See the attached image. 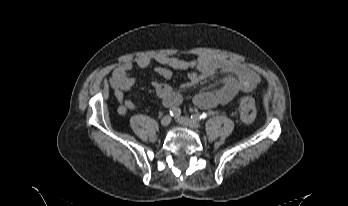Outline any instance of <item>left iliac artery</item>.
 Segmentation results:
<instances>
[{
	"label": "left iliac artery",
	"instance_id": "left-iliac-artery-1",
	"mask_svg": "<svg viewBox=\"0 0 348 206\" xmlns=\"http://www.w3.org/2000/svg\"><path fill=\"white\" fill-rule=\"evenodd\" d=\"M220 113H223V110H220ZM211 113H209L210 115ZM216 116H219V113H216ZM207 118V113H194L193 115H191V119L193 121H202L205 120Z\"/></svg>",
	"mask_w": 348,
	"mask_h": 206
}]
</instances>
